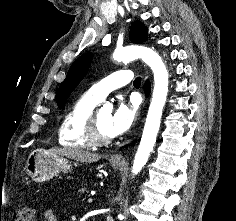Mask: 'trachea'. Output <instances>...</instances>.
<instances>
[{
    "mask_svg": "<svg viewBox=\"0 0 236 221\" xmlns=\"http://www.w3.org/2000/svg\"><path fill=\"white\" fill-rule=\"evenodd\" d=\"M133 84H134L135 86H140V84H141V77H137V78L134 80Z\"/></svg>",
    "mask_w": 236,
    "mask_h": 221,
    "instance_id": "obj_1",
    "label": "trachea"
}]
</instances>
